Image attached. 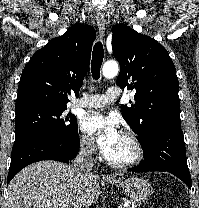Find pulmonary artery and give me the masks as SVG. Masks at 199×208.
<instances>
[{"instance_id": "obj_1", "label": "pulmonary artery", "mask_w": 199, "mask_h": 208, "mask_svg": "<svg viewBox=\"0 0 199 208\" xmlns=\"http://www.w3.org/2000/svg\"><path fill=\"white\" fill-rule=\"evenodd\" d=\"M121 96V91L116 88H110L103 94H86L81 98L74 99L72 106L74 108H95L104 107L115 101Z\"/></svg>"}]
</instances>
